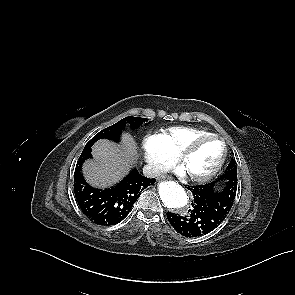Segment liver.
I'll return each mask as SVG.
<instances>
[{
    "label": "liver",
    "mask_w": 295,
    "mask_h": 295,
    "mask_svg": "<svg viewBox=\"0 0 295 295\" xmlns=\"http://www.w3.org/2000/svg\"><path fill=\"white\" fill-rule=\"evenodd\" d=\"M121 147L101 139L92 147L95 160L87 161L83 174L95 187H106L121 179L132 165L137 155V145L129 134H123Z\"/></svg>",
    "instance_id": "1"
}]
</instances>
